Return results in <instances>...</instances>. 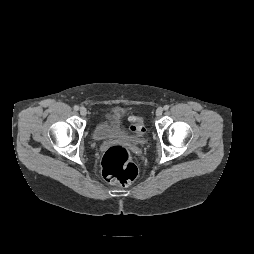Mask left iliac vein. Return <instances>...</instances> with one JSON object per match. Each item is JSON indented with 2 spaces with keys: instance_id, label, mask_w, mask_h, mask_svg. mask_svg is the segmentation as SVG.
<instances>
[{
  "instance_id": "4c4485c4",
  "label": "left iliac vein",
  "mask_w": 254,
  "mask_h": 254,
  "mask_svg": "<svg viewBox=\"0 0 254 254\" xmlns=\"http://www.w3.org/2000/svg\"><path fill=\"white\" fill-rule=\"evenodd\" d=\"M162 114H163V108L159 107V108L156 110V116H157V117H160V116H162Z\"/></svg>"
}]
</instances>
